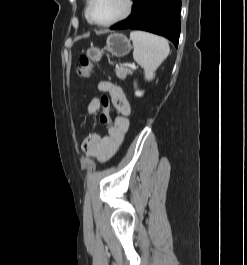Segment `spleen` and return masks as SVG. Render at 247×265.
Returning a JSON list of instances; mask_svg holds the SVG:
<instances>
[{
    "instance_id": "obj_1",
    "label": "spleen",
    "mask_w": 247,
    "mask_h": 265,
    "mask_svg": "<svg viewBox=\"0 0 247 265\" xmlns=\"http://www.w3.org/2000/svg\"><path fill=\"white\" fill-rule=\"evenodd\" d=\"M133 58L144 69L145 78L150 81L155 71L167 58L170 52L167 40L145 31H132Z\"/></svg>"
}]
</instances>
